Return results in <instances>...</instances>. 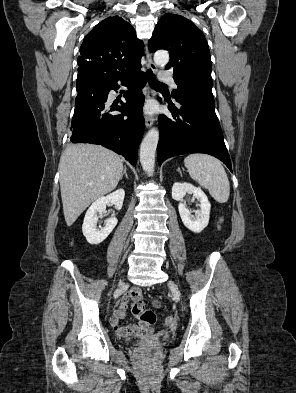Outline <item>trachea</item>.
<instances>
[{"mask_svg":"<svg viewBox=\"0 0 296 393\" xmlns=\"http://www.w3.org/2000/svg\"><path fill=\"white\" fill-rule=\"evenodd\" d=\"M147 80H148L149 85H150L151 87H153V88L167 87V85H165V84L159 82V81L155 78V76H154V74H153V71H152L151 69H148V70H147Z\"/></svg>","mask_w":296,"mask_h":393,"instance_id":"obj_1","label":"trachea"}]
</instances>
